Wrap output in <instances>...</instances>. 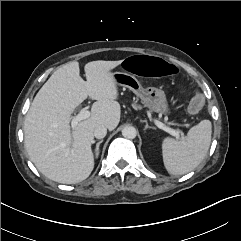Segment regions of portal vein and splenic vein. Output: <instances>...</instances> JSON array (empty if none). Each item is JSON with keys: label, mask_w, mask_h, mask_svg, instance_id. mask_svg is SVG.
Listing matches in <instances>:
<instances>
[{"label": "portal vein and splenic vein", "mask_w": 241, "mask_h": 241, "mask_svg": "<svg viewBox=\"0 0 241 241\" xmlns=\"http://www.w3.org/2000/svg\"><path fill=\"white\" fill-rule=\"evenodd\" d=\"M89 117H90V112L86 108H82L79 111V113L75 117H73L71 120L72 129H74L78 125L79 122H81L82 120H85ZM154 123L158 128L164 130L165 132L169 133L170 135L176 137L177 139H179L180 136L183 137V133H181L179 130H174L158 120H154Z\"/></svg>", "instance_id": "obj_1"}]
</instances>
